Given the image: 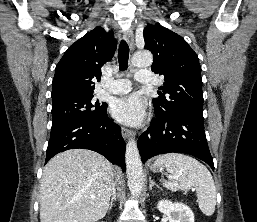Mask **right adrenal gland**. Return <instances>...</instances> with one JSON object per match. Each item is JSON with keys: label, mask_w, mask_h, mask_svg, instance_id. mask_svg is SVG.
I'll list each match as a JSON object with an SVG mask.
<instances>
[{"label": "right adrenal gland", "mask_w": 257, "mask_h": 222, "mask_svg": "<svg viewBox=\"0 0 257 222\" xmlns=\"http://www.w3.org/2000/svg\"><path fill=\"white\" fill-rule=\"evenodd\" d=\"M116 200V188L114 187L113 189V193H112V197H111V202L109 205V210H111L112 206H113V202Z\"/></svg>", "instance_id": "2a0ac1e0"}]
</instances>
